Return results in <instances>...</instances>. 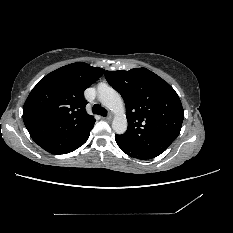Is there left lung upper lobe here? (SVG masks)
Instances as JSON below:
<instances>
[{
  "instance_id": "obj_1",
  "label": "left lung upper lobe",
  "mask_w": 233,
  "mask_h": 233,
  "mask_svg": "<svg viewBox=\"0 0 233 233\" xmlns=\"http://www.w3.org/2000/svg\"><path fill=\"white\" fill-rule=\"evenodd\" d=\"M108 83L124 99L128 129L118 135L133 149L160 155L180 133L184 110L175 90L146 68L106 71Z\"/></svg>"
}]
</instances>
